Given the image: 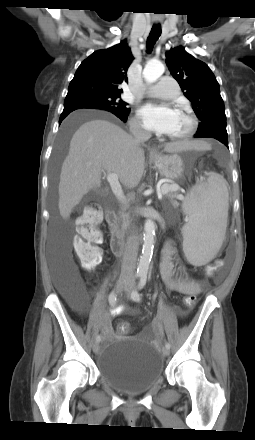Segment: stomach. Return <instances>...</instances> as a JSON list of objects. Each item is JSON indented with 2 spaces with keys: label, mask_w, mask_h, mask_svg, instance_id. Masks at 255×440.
<instances>
[{
  "label": "stomach",
  "mask_w": 255,
  "mask_h": 440,
  "mask_svg": "<svg viewBox=\"0 0 255 440\" xmlns=\"http://www.w3.org/2000/svg\"><path fill=\"white\" fill-rule=\"evenodd\" d=\"M155 168L167 179H180L184 173V164L182 158L177 154L172 155H154L151 157Z\"/></svg>",
  "instance_id": "0dacf381"
}]
</instances>
